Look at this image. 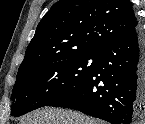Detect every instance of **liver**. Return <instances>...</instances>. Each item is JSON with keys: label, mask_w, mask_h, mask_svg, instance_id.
I'll return each instance as SVG.
<instances>
[{"label": "liver", "mask_w": 145, "mask_h": 124, "mask_svg": "<svg viewBox=\"0 0 145 124\" xmlns=\"http://www.w3.org/2000/svg\"><path fill=\"white\" fill-rule=\"evenodd\" d=\"M21 124H99L80 113L63 109H43L35 111L21 121Z\"/></svg>", "instance_id": "liver-1"}]
</instances>
